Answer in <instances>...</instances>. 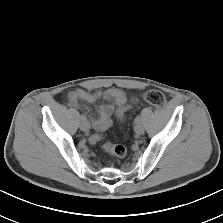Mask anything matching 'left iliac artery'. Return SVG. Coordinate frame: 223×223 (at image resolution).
I'll return each instance as SVG.
<instances>
[{"instance_id": "obj_1", "label": "left iliac artery", "mask_w": 223, "mask_h": 223, "mask_svg": "<svg viewBox=\"0 0 223 223\" xmlns=\"http://www.w3.org/2000/svg\"><path fill=\"white\" fill-rule=\"evenodd\" d=\"M134 122L136 124L139 123V122H141V116L140 115L136 116V118L134 119Z\"/></svg>"}]
</instances>
